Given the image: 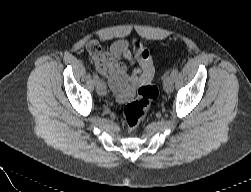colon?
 Here are the masks:
<instances>
[{"mask_svg": "<svg viewBox=\"0 0 251 192\" xmlns=\"http://www.w3.org/2000/svg\"><path fill=\"white\" fill-rule=\"evenodd\" d=\"M158 97V89L151 82L142 84L138 88L137 98L128 103L123 111L127 129L131 132L137 129L146 117L147 110Z\"/></svg>", "mask_w": 251, "mask_h": 192, "instance_id": "5ec220e1", "label": "colon"}]
</instances>
